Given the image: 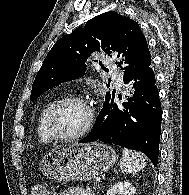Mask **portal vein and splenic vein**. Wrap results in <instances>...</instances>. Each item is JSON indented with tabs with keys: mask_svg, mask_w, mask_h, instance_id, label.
I'll return each mask as SVG.
<instances>
[{
	"mask_svg": "<svg viewBox=\"0 0 189 195\" xmlns=\"http://www.w3.org/2000/svg\"><path fill=\"white\" fill-rule=\"evenodd\" d=\"M100 181H101V178H97V179H96V182H100Z\"/></svg>",
	"mask_w": 189,
	"mask_h": 195,
	"instance_id": "1",
	"label": "portal vein and splenic vein"
}]
</instances>
